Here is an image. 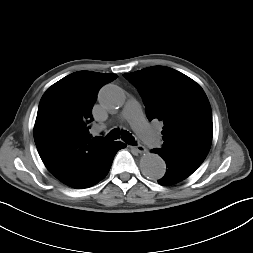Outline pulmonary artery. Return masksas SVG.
Segmentation results:
<instances>
[{
    "label": "pulmonary artery",
    "instance_id": "e3ab8cb5",
    "mask_svg": "<svg viewBox=\"0 0 253 253\" xmlns=\"http://www.w3.org/2000/svg\"><path fill=\"white\" fill-rule=\"evenodd\" d=\"M123 117L128 119L134 127H139L140 135L148 145L157 147L160 144L159 136L144 122L141 107L137 101L127 102Z\"/></svg>",
    "mask_w": 253,
    "mask_h": 253
}]
</instances>
